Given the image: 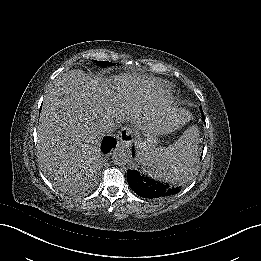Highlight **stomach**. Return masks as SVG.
Here are the masks:
<instances>
[{
    "instance_id": "obj_1",
    "label": "stomach",
    "mask_w": 261,
    "mask_h": 261,
    "mask_svg": "<svg viewBox=\"0 0 261 261\" xmlns=\"http://www.w3.org/2000/svg\"><path fill=\"white\" fill-rule=\"evenodd\" d=\"M149 113V112H147ZM149 120L146 122L147 129L143 131L145 139L141 140L138 139L136 142V147L138 149V158L140 159L147 154V152L154 147V144L156 143V138L153 133V129L156 126V120L159 119V113H156L155 115H150Z\"/></svg>"
}]
</instances>
